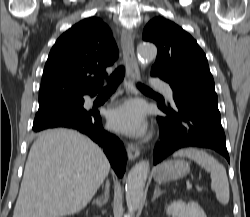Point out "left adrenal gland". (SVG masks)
<instances>
[{"instance_id": "1", "label": "left adrenal gland", "mask_w": 250, "mask_h": 217, "mask_svg": "<svg viewBox=\"0 0 250 217\" xmlns=\"http://www.w3.org/2000/svg\"><path fill=\"white\" fill-rule=\"evenodd\" d=\"M165 191H162L159 186H156L155 187V191H154V194H153V198H152V201H154L156 198H158L161 194H163Z\"/></svg>"}]
</instances>
